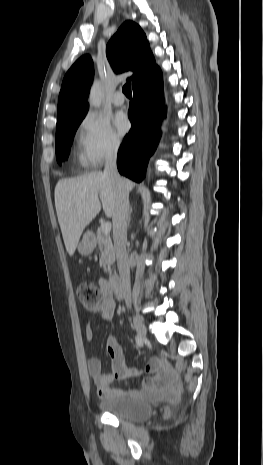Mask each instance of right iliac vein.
<instances>
[{
  "instance_id": "right-iliac-vein-1",
  "label": "right iliac vein",
  "mask_w": 263,
  "mask_h": 465,
  "mask_svg": "<svg viewBox=\"0 0 263 465\" xmlns=\"http://www.w3.org/2000/svg\"><path fill=\"white\" fill-rule=\"evenodd\" d=\"M132 324L135 328V330L138 333V336L142 339L145 340L147 337V330L146 327L143 323V321L136 315H132Z\"/></svg>"
}]
</instances>
